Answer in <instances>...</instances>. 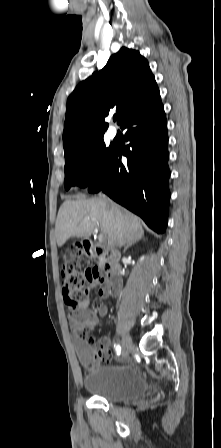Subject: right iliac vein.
<instances>
[{"instance_id": "obj_1", "label": "right iliac vein", "mask_w": 221, "mask_h": 448, "mask_svg": "<svg viewBox=\"0 0 221 448\" xmlns=\"http://www.w3.org/2000/svg\"><path fill=\"white\" fill-rule=\"evenodd\" d=\"M123 356L127 357L128 354L134 349V345L131 337L125 334L122 339Z\"/></svg>"}]
</instances>
